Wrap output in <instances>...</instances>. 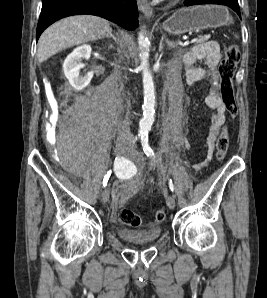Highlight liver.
Returning <instances> with one entry per match:
<instances>
[{
  "label": "liver",
  "instance_id": "liver-1",
  "mask_svg": "<svg viewBox=\"0 0 267 298\" xmlns=\"http://www.w3.org/2000/svg\"><path fill=\"white\" fill-rule=\"evenodd\" d=\"M111 32L109 23L100 17L78 15L62 19L40 36L38 61L42 63L63 49L104 38Z\"/></svg>",
  "mask_w": 267,
  "mask_h": 298
}]
</instances>
